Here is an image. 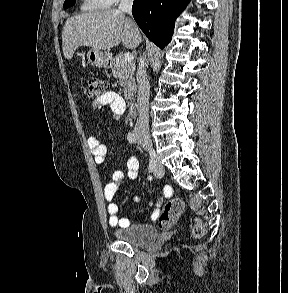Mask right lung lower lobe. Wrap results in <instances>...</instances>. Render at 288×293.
Returning a JSON list of instances; mask_svg holds the SVG:
<instances>
[{
  "label": "right lung lower lobe",
  "mask_w": 288,
  "mask_h": 293,
  "mask_svg": "<svg viewBox=\"0 0 288 293\" xmlns=\"http://www.w3.org/2000/svg\"><path fill=\"white\" fill-rule=\"evenodd\" d=\"M190 0H134L133 17L145 33L159 48L170 42L176 18Z\"/></svg>",
  "instance_id": "right-lung-lower-lobe-1"
}]
</instances>
